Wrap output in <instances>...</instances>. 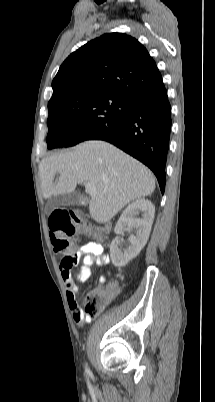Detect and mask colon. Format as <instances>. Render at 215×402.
<instances>
[{"label": "colon", "mask_w": 215, "mask_h": 402, "mask_svg": "<svg viewBox=\"0 0 215 402\" xmlns=\"http://www.w3.org/2000/svg\"><path fill=\"white\" fill-rule=\"evenodd\" d=\"M49 229L54 251L64 255L61 265L74 272L78 262L73 257L76 255V250L81 249L82 244L80 241H69V237L76 233L93 236L95 232L86 222L66 210H56L52 213L49 218ZM107 301V294L88 292L84 297L82 312L88 316H95L100 313Z\"/></svg>", "instance_id": "colon-1"}]
</instances>
